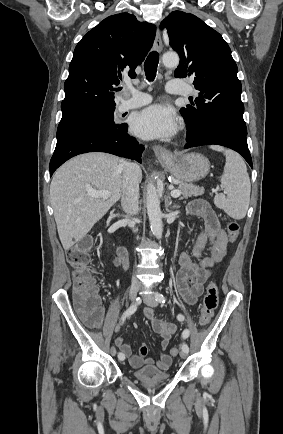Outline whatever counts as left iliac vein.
Here are the masks:
<instances>
[{"label":"left iliac vein","mask_w":283,"mask_h":434,"mask_svg":"<svg viewBox=\"0 0 283 434\" xmlns=\"http://www.w3.org/2000/svg\"><path fill=\"white\" fill-rule=\"evenodd\" d=\"M143 300H144L145 304H147L150 307H156L158 305L157 300L151 295H144ZM187 356H188V352L183 351V350L180 352V357L182 359L187 358Z\"/></svg>","instance_id":"4c4485c4"}]
</instances>
